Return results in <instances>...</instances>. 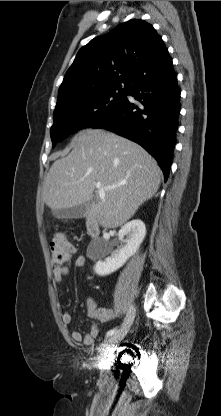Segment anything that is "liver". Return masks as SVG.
<instances>
[{
    "label": "liver",
    "instance_id": "liver-1",
    "mask_svg": "<svg viewBox=\"0 0 221 416\" xmlns=\"http://www.w3.org/2000/svg\"><path fill=\"white\" fill-rule=\"evenodd\" d=\"M73 144L67 156L52 164L44 180L43 201L52 210L94 198L84 216L103 228H116L157 192L160 167L137 143L102 129H87L73 138ZM96 183L116 187L94 196Z\"/></svg>",
    "mask_w": 221,
    "mask_h": 416
}]
</instances>
